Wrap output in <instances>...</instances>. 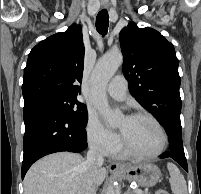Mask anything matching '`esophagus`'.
Segmentation results:
<instances>
[{
    "instance_id": "esophagus-1",
    "label": "esophagus",
    "mask_w": 201,
    "mask_h": 194,
    "mask_svg": "<svg viewBox=\"0 0 201 194\" xmlns=\"http://www.w3.org/2000/svg\"><path fill=\"white\" fill-rule=\"evenodd\" d=\"M108 6H109L108 2H103L102 3L103 8H107ZM108 168L110 170H118V169L121 168V165L118 162L110 161L109 164H108Z\"/></svg>"
}]
</instances>
